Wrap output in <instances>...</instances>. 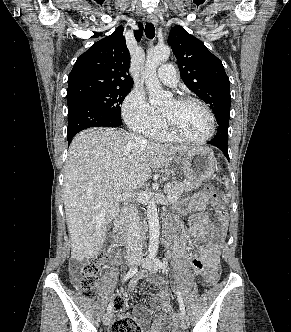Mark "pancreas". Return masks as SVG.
<instances>
[{"label": "pancreas", "instance_id": "obj_1", "mask_svg": "<svg viewBox=\"0 0 291 332\" xmlns=\"http://www.w3.org/2000/svg\"><path fill=\"white\" fill-rule=\"evenodd\" d=\"M200 185V181L191 182L184 180L181 182H171L164 186V191L169 199L175 196H180L184 192L197 190Z\"/></svg>", "mask_w": 291, "mask_h": 332}]
</instances>
